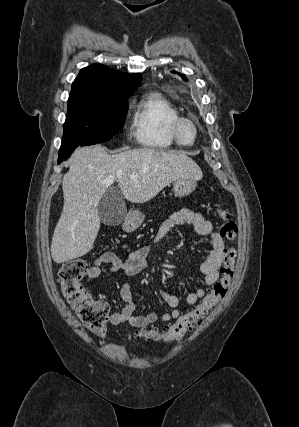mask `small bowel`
Masks as SVG:
<instances>
[{"label": "small bowel", "instance_id": "c3829d8e", "mask_svg": "<svg viewBox=\"0 0 299 427\" xmlns=\"http://www.w3.org/2000/svg\"><path fill=\"white\" fill-rule=\"evenodd\" d=\"M183 224L192 225L195 231L203 236H208L211 242V250L207 259L201 267L204 275V283L207 287L212 286L219 278V270L225 256V247L222 238L215 231L211 221L205 216L192 209L184 208L165 219L155 235V242L162 241L175 227ZM151 248L142 246L132 250L125 260L120 259L115 253L105 252L96 258L94 265L87 272V280L93 281L103 274L124 271L128 276H135L146 270L149 266ZM161 298L171 307L170 312L161 315L162 322H170L180 315L178 306L179 298L166 291L160 293ZM205 296V290L198 288L186 296L188 305L196 304ZM120 297L123 301V308L118 312L109 315V321L113 325L129 323L136 328H145L158 320V315L149 313L147 315H135V303L132 297L131 285L123 283L120 288Z\"/></svg>", "mask_w": 299, "mask_h": 427}]
</instances>
